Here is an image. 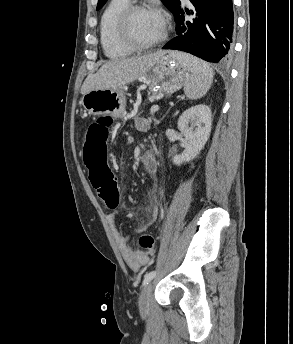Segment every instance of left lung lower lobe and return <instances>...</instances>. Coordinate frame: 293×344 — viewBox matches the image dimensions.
<instances>
[{"label": "left lung lower lobe", "mask_w": 293, "mask_h": 344, "mask_svg": "<svg viewBox=\"0 0 293 344\" xmlns=\"http://www.w3.org/2000/svg\"><path fill=\"white\" fill-rule=\"evenodd\" d=\"M193 7L186 9L194 16L184 19L178 4L173 12L177 37L163 49L185 51L212 63H227L233 54L234 14L232 0H190Z\"/></svg>", "instance_id": "1"}]
</instances>
